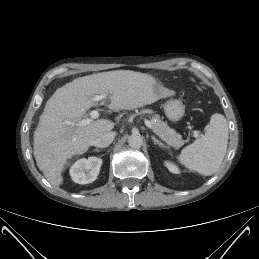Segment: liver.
Segmentation results:
<instances>
[{"label":"liver","mask_w":259,"mask_h":259,"mask_svg":"<svg viewBox=\"0 0 259 259\" xmlns=\"http://www.w3.org/2000/svg\"><path fill=\"white\" fill-rule=\"evenodd\" d=\"M159 92L154 77L130 70L79 77L58 88L46 102L34 132L38 168L52 185L60 186L67 160L85 153L93 140L114 128V123L106 119L78 125L86 112L97 104L93 100L96 94L109 95L108 107L120 111L140 108L174 94L168 90Z\"/></svg>","instance_id":"6515ba94"}]
</instances>
